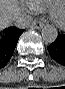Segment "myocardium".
Returning <instances> with one entry per match:
<instances>
[{"label":"myocardium","instance_id":"myocardium-1","mask_svg":"<svg viewBox=\"0 0 65 89\" xmlns=\"http://www.w3.org/2000/svg\"><path fill=\"white\" fill-rule=\"evenodd\" d=\"M51 16L53 20L59 24L64 25L65 24V5H55L51 9Z\"/></svg>","mask_w":65,"mask_h":89}]
</instances>
